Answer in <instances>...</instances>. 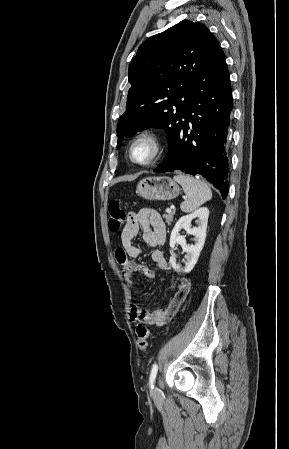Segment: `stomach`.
Masks as SVG:
<instances>
[{"label":"stomach","mask_w":289,"mask_h":449,"mask_svg":"<svg viewBox=\"0 0 289 449\" xmlns=\"http://www.w3.org/2000/svg\"><path fill=\"white\" fill-rule=\"evenodd\" d=\"M180 188L169 177H147L137 184L136 193L147 200H172L178 196Z\"/></svg>","instance_id":"stomach-1"}]
</instances>
